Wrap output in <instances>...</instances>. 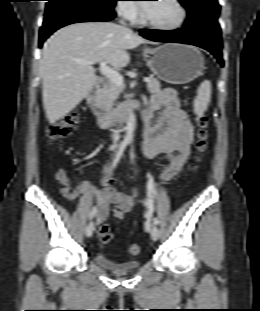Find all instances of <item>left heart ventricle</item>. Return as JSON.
Masks as SVG:
<instances>
[{
    "label": "left heart ventricle",
    "mask_w": 260,
    "mask_h": 311,
    "mask_svg": "<svg viewBox=\"0 0 260 311\" xmlns=\"http://www.w3.org/2000/svg\"><path fill=\"white\" fill-rule=\"evenodd\" d=\"M146 15L148 19L156 24L170 25L179 18V11L171 0H158L146 6Z\"/></svg>",
    "instance_id": "b2bd125f"
}]
</instances>
